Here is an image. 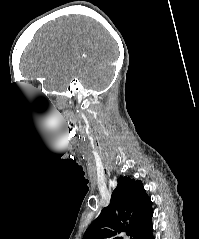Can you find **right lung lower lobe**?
Masks as SVG:
<instances>
[{"mask_svg":"<svg viewBox=\"0 0 199 239\" xmlns=\"http://www.w3.org/2000/svg\"><path fill=\"white\" fill-rule=\"evenodd\" d=\"M152 230L153 225L150 219L142 226V228L137 232L133 239H154Z\"/></svg>","mask_w":199,"mask_h":239,"instance_id":"98d812e1","label":"right lung lower lobe"}]
</instances>
